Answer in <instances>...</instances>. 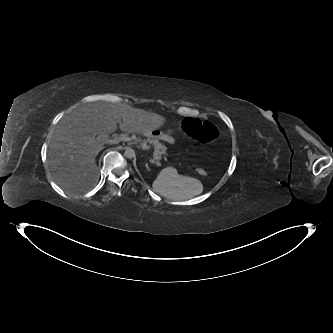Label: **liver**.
<instances>
[{"label": "liver", "instance_id": "liver-1", "mask_svg": "<svg viewBox=\"0 0 333 333\" xmlns=\"http://www.w3.org/2000/svg\"><path fill=\"white\" fill-rule=\"evenodd\" d=\"M118 123L123 132L149 136L165 118L122 103L98 101L78 107L60 120L49 144L48 165L60 187L80 192L97 183L95 157L104 141L96 136L114 133Z\"/></svg>", "mask_w": 333, "mask_h": 333}]
</instances>
